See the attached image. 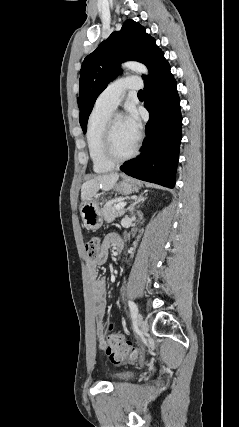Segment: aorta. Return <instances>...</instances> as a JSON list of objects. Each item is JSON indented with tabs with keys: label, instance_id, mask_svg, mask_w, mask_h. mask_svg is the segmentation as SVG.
Returning a JSON list of instances; mask_svg holds the SVG:
<instances>
[{
	"label": "aorta",
	"instance_id": "1",
	"mask_svg": "<svg viewBox=\"0 0 239 427\" xmlns=\"http://www.w3.org/2000/svg\"><path fill=\"white\" fill-rule=\"evenodd\" d=\"M123 68H127L133 72L145 74L148 75V69L145 65L135 62V61H128L122 64Z\"/></svg>",
	"mask_w": 239,
	"mask_h": 427
}]
</instances>
